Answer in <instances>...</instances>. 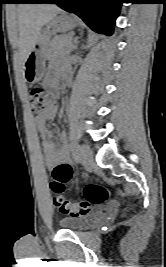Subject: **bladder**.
<instances>
[{
    "mask_svg": "<svg viewBox=\"0 0 166 267\" xmlns=\"http://www.w3.org/2000/svg\"><path fill=\"white\" fill-rule=\"evenodd\" d=\"M96 218L97 214L65 217L59 221V225L63 229L80 230L89 226Z\"/></svg>",
    "mask_w": 166,
    "mask_h": 267,
    "instance_id": "bladder-1",
    "label": "bladder"
}]
</instances>
